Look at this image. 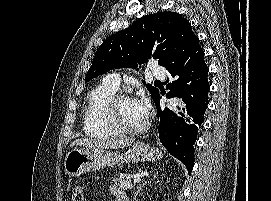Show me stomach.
I'll return each instance as SVG.
<instances>
[{
    "mask_svg": "<svg viewBox=\"0 0 271 201\" xmlns=\"http://www.w3.org/2000/svg\"><path fill=\"white\" fill-rule=\"evenodd\" d=\"M161 152L143 142H136L125 153L100 148H75L68 152L64 170L68 176L78 177L84 173L130 162H154Z\"/></svg>",
    "mask_w": 271,
    "mask_h": 201,
    "instance_id": "0dacf381",
    "label": "stomach"
}]
</instances>
